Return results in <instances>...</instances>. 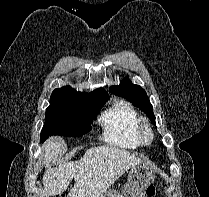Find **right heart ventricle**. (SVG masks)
<instances>
[{
  "mask_svg": "<svg viewBox=\"0 0 209 197\" xmlns=\"http://www.w3.org/2000/svg\"><path fill=\"white\" fill-rule=\"evenodd\" d=\"M100 122L108 143L127 149L140 145L137 136L139 116L128 102H116L102 114Z\"/></svg>",
  "mask_w": 209,
  "mask_h": 197,
  "instance_id": "obj_1",
  "label": "right heart ventricle"
}]
</instances>
